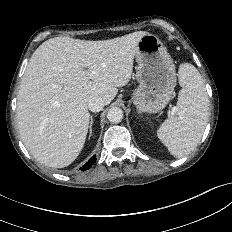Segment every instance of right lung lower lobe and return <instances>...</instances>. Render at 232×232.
<instances>
[{
    "mask_svg": "<svg viewBox=\"0 0 232 232\" xmlns=\"http://www.w3.org/2000/svg\"><path fill=\"white\" fill-rule=\"evenodd\" d=\"M96 161V156H93L82 168V171L88 170Z\"/></svg>",
    "mask_w": 232,
    "mask_h": 232,
    "instance_id": "98d812e1",
    "label": "right lung lower lobe"
}]
</instances>
